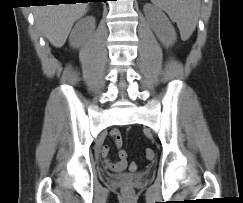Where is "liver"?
Listing matches in <instances>:
<instances>
[{"instance_id":"1","label":"liver","mask_w":243,"mask_h":203,"mask_svg":"<svg viewBox=\"0 0 243 203\" xmlns=\"http://www.w3.org/2000/svg\"><path fill=\"white\" fill-rule=\"evenodd\" d=\"M87 6V3L36 6V26L53 46L60 48L73 24L86 13Z\"/></svg>"}]
</instances>
